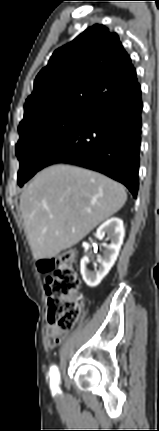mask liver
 I'll list each match as a JSON object with an SVG mask.
<instances>
[{
	"mask_svg": "<svg viewBox=\"0 0 159 431\" xmlns=\"http://www.w3.org/2000/svg\"><path fill=\"white\" fill-rule=\"evenodd\" d=\"M124 186L83 168L53 165L23 190L20 209L35 259L66 250L125 204Z\"/></svg>",
	"mask_w": 159,
	"mask_h": 431,
	"instance_id": "obj_1",
	"label": "liver"
}]
</instances>
